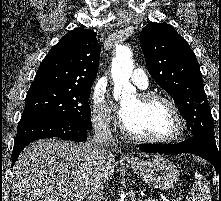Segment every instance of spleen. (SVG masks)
I'll return each mask as SVG.
<instances>
[{"label": "spleen", "mask_w": 221, "mask_h": 201, "mask_svg": "<svg viewBox=\"0 0 221 201\" xmlns=\"http://www.w3.org/2000/svg\"><path fill=\"white\" fill-rule=\"evenodd\" d=\"M186 201H211L210 188L205 178L198 172H195V185L188 192Z\"/></svg>", "instance_id": "obj_1"}]
</instances>
